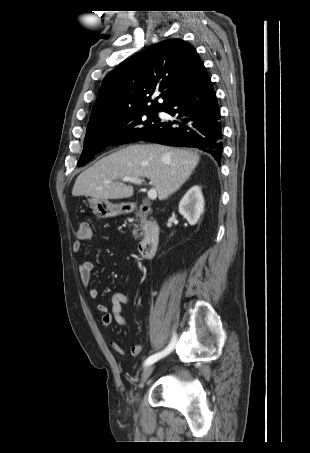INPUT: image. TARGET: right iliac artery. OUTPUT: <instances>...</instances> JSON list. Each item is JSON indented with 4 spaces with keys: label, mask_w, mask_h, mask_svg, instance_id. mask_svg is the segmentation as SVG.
<instances>
[{
    "label": "right iliac artery",
    "mask_w": 310,
    "mask_h": 453,
    "mask_svg": "<svg viewBox=\"0 0 310 453\" xmlns=\"http://www.w3.org/2000/svg\"><path fill=\"white\" fill-rule=\"evenodd\" d=\"M175 340L176 339H175V336H174L172 341H171V343L169 344V346L165 350L149 356L144 362V367L153 364L154 362L158 361L160 358H162V357L166 356L167 354H169L172 351L173 347H174Z\"/></svg>",
    "instance_id": "obj_1"
}]
</instances>
